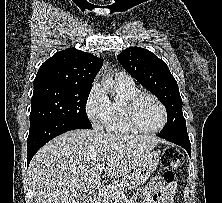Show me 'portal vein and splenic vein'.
<instances>
[{
	"instance_id": "1",
	"label": "portal vein and splenic vein",
	"mask_w": 222,
	"mask_h": 203,
	"mask_svg": "<svg viewBox=\"0 0 222 203\" xmlns=\"http://www.w3.org/2000/svg\"><path fill=\"white\" fill-rule=\"evenodd\" d=\"M104 167H102V166H100L99 168H98V170H102Z\"/></svg>"
}]
</instances>
